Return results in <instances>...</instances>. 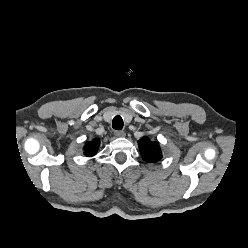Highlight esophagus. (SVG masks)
Returning a JSON list of instances; mask_svg holds the SVG:
<instances>
[{"label":"esophagus","mask_w":248,"mask_h":248,"mask_svg":"<svg viewBox=\"0 0 248 248\" xmlns=\"http://www.w3.org/2000/svg\"><path fill=\"white\" fill-rule=\"evenodd\" d=\"M114 135L116 137H124L125 136V132L124 131L117 130V131L114 132Z\"/></svg>","instance_id":"1"}]
</instances>
